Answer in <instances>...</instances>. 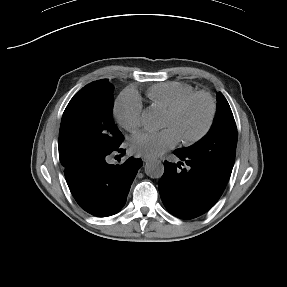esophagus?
Wrapping results in <instances>:
<instances>
[{"mask_svg": "<svg viewBox=\"0 0 287 287\" xmlns=\"http://www.w3.org/2000/svg\"><path fill=\"white\" fill-rule=\"evenodd\" d=\"M152 160V158H150V157H143V161L144 162H148V161H151Z\"/></svg>", "mask_w": 287, "mask_h": 287, "instance_id": "1", "label": "esophagus"}]
</instances>
